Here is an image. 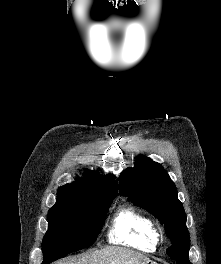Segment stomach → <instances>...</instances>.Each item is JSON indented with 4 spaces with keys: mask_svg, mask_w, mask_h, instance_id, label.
Returning a JSON list of instances; mask_svg holds the SVG:
<instances>
[{
    "mask_svg": "<svg viewBox=\"0 0 221 264\" xmlns=\"http://www.w3.org/2000/svg\"><path fill=\"white\" fill-rule=\"evenodd\" d=\"M141 264H158V263L149 259V260L143 261Z\"/></svg>",
    "mask_w": 221,
    "mask_h": 264,
    "instance_id": "1",
    "label": "stomach"
}]
</instances>
